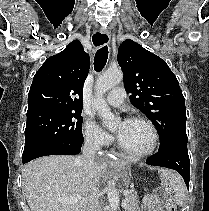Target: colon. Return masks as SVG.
Here are the masks:
<instances>
[{
  "mask_svg": "<svg viewBox=\"0 0 209 211\" xmlns=\"http://www.w3.org/2000/svg\"><path fill=\"white\" fill-rule=\"evenodd\" d=\"M164 188L168 191L171 192V187L169 184H165ZM165 207L167 211H176V203L172 197H168L165 200Z\"/></svg>",
  "mask_w": 209,
  "mask_h": 211,
  "instance_id": "obj_1",
  "label": "colon"
}]
</instances>
